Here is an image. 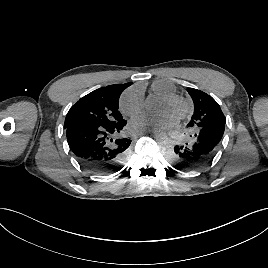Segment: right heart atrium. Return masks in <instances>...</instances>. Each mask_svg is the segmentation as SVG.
Instances as JSON below:
<instances>
[{
	"instance_id": "d8ad5b80",
	"label": "right heart atrium",
	"mask_w": 268,
	"mask_h": 268,
	"mask_svg": "<svg viewBox=\"0 0 268 268\" xmlns=\"http://www.w3.org/2000/svg\"><path fill=\"white\" fill-rule=\"evenodd\" d=\"M119 107L121 112L127 116L140 113L144 108L141 91L136 88L126 90L120 98Z\"/></svg>"
}]
</instances>
